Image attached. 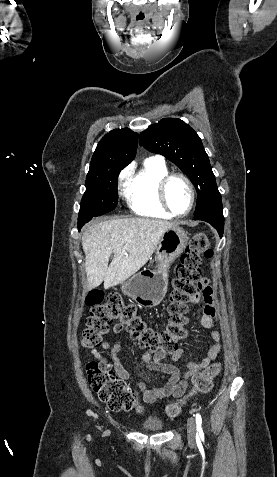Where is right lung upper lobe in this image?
<instances>
[{
	"label": "right lung upper lobe",
	"instance_id": "1",
	"mask_svg": "<svg viewBox=\"0 0 277 477\" xmlns=\"http://www.w3.org/2000/svg\"><path fill=\"white\" fill-rule=\"evenodd\" d=\"M138 134L129 128L112 130L98 143L88 173L125 167L135 157Z\"/></svg>",
	"mask_w": 277,
	"mask_h": 477
}]
</instances>
